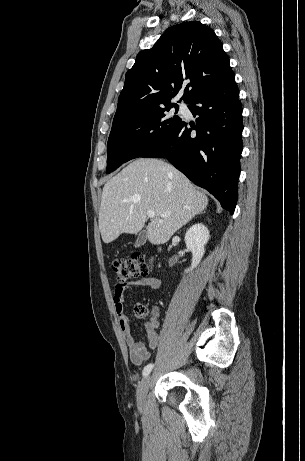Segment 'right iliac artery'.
<instances>
[{
    "label": "right iliac artery",
    "mask_w": 305,
    "mask_h": 461,
    "mask_svg": "<svg viewBox=\"0 0 305 461\" xmlns=\"http://www.w3.org/2000/svg\"><path fill=\"white\" fill-rule=\"evenodd\" d=\"M153 367H154V365L152 363L146 365L144 367V369H143V372H142L143 376H147L151 372Z\"/></svg>",
    "instance_id": "obj_1"
}]
</instances>
